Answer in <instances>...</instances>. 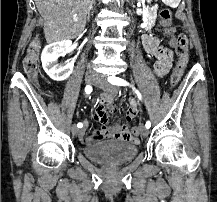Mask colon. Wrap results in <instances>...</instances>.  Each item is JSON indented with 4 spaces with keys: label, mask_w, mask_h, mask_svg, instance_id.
<instances>
[{
    "label": "colon",
    "mask_w": 217,
    "mask_h": 202,
    "mask_svg": "<svg viewBox=\"0 0 217 202\" xmlns=\"http://www.w3.org/2000/svg\"><path fill=\"white\" fill-rule=\"evenodd\" d=\"M161 23L164 26L166 33L172 38V45L175 49L178 61L174 72L171 76V83L176 85L180 77L188 65L189 51H190V40L185 34H177L176 28L172 25V12L169 8H162L159 11ZM40 49V40L38 37H34L25 54L23 59L24 72L30 79H35L38 74V54ZM132 132H139V127H132Z\"/></svg>",
    "instance_id": "1"
}]
</instances>
